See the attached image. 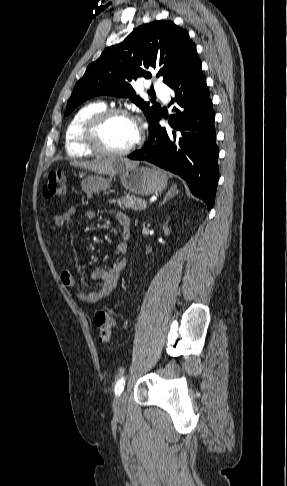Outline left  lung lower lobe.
Instances as JSON below:
<instances>
[{
  "label": "left lung lower lobe",
  "mask_w": 287,
  "mask_h": 486,
  "mask_svg": "<svg viewBox=\"0 0 287 486\" xmlns=\"http://www.w3.org/2000/svg\"><path fill=\"white\" fill-rule=\"evenodd\" d=\"M183 112L174 108L169 117L172 130L159 125L163 113L149 127L145 146L128 157L145 160L180 175L192 193L211 209L219 179L218 148L215 141V114L206 79L197 57L168 85Z\"/></svg>",
  "instance_id": "left-lung-lower-lobe-1"
}]
</instances>
